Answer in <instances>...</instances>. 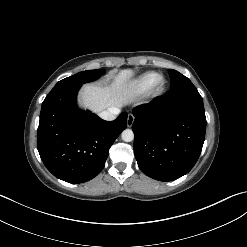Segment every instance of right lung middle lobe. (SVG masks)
<instances>
[{
    "mask_svg": "<svg viewBox=\"0 0 247 247\" xmlns=\"http://www.w3.org/2000/svg\"><path fill=\"white\" fill-rule=\"evenodd\" d=\"M104 71L102 70H88L79 72L73 76L67 77L61 81H59L57 85H72V84H79L82 85L87 82H91L99 78Z\"/></svg>",
    "mask_w": 247,
    "mask_h": 247,
    "instance_id": "obj_1",
    "label": "right lung middle lobe"
}]
</instances>
